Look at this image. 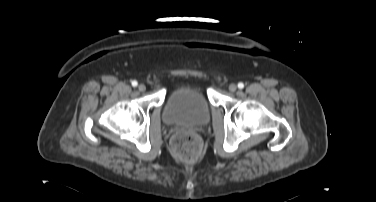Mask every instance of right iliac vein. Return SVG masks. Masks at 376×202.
<instances>
[{"label": "right iliac vein", "instance_id": "63e3f726", "mask_svg": "<svg viewBox=\"0 0 376 202\" xmlns=\"http://www.w3.org/2000/svg\"><path fill=\"white\" fill-rule=\"evenodd\" d=\"M138 89H139V91L143 92V91H145L146 86H145L144 84H140V85L138 86Z\"/></svg>", "mask_w": 376, "mask_h": 202}]
</instances>
